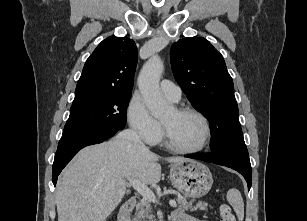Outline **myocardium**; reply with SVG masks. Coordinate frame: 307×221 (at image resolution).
<instances>
[{
    "label": "myocardium",
    "mask_w": 307,
    "mask_h": 221,
    "mask_svg": "<svg viewBox=\"0 0 307 221\" xmlns=\"http://www.w3.org/2000/svg\"><path fill=\"white\" fill-rule=\"evenodd\" d=\"M175 111L179 114H192L196 117H198L204 127V135L202 138V141L200 142L199 145L192 147V148H180L175 146L170 138L169 134L167 131L166 126L162 123V129H163V143L164 145L172 152L178 153V154H194L197 152L202 151L210 142L211 135H212V130H211V124L209 119L206 117L204 113L199 111L196 108L193 107H177L175 108Z\"/></svg>",
    "instance_id": "f54148a6"
}]
</instances>
